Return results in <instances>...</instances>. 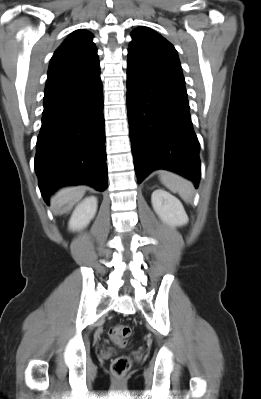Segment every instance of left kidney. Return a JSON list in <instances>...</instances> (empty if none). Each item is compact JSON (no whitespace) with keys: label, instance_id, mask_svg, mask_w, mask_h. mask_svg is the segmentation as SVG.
Here are the masks:
<instances>
[{"label":"left kidney","instance_id":"obj_1","mask_svg":"<svg viewBox=\"0 0 261 399\" xmlns=\"http://www.w3.org/2000/svg\"><path fill=\"white\" fill-rule=\"evenodd\" d=\"M151 202L154 211L161 220L170 226H183L189 219L182 203L165 190L157 189L152 193Z\"/></svg>","mask_w":261,"mask_h":399}]
</instances>
